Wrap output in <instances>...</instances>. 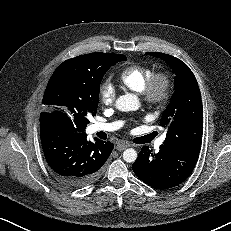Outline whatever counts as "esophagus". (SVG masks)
<instances>
[{
    "label": "esophagus",
    "instance_id": "1",
    "mask_svg": "<svg viewBox=\"0 0 231 231\" xmlns=\"http://www.w3.org/2000/svg\"><path fill=\"white\" fill-rule=\"evenodd\" d=\"M128 146H129V145L126 144V143L119 142V143L117 144V146H116V149H117L118 151H123V150H125Z\"/></svg>",
    "mask_w": 231,
    "mask_h": 231
}]
</instances>
